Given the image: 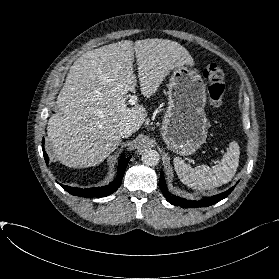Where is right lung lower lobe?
I'll return each mask as SVG.
<instances>
[{
    "instance_id": "98d812e1",
    "label": "right lung lower lobe",
    "mask_w": 279,
    "mask_h": 279,
    "mask_svg": "<svg viewBox=\"0 0 279 279\" xmlns=\"http://www.w3.org/2000/svg\"><path fill=\"white\" fill-rule=\"evenodd\" d=\"M42 149H43V155H44L46 164H48L49 158L44 149V139L42 141ZM130 158L131 157H127L125 159H123V158L120 159V162L118 164V174L116 176V179H115V181L111 182L109 185L97 187V188H87V189L70 187V186H65V185H61V186L68 193L75 195V196L86 197V198L106 197V196L112 194L113 192H115L121 185L122 177L124 175V172L126 170V167H127V164L129 162Z\"/></svg>"
}]
</instances>
